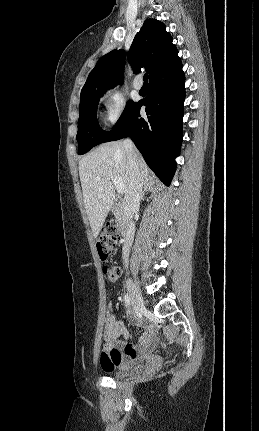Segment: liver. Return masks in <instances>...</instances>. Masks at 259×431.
<instances>
[{
	"label": "liver",
	"mask_w": 259,
	"mask_h": 431,
	"mask_svg": "<svg viewBox=\"0 0 259 431\" xmlns=\"http://www.w3.org/2000/svg\"><path fill=\"white\" fill-rule=\"evenodd\" d=\"M136 153L143 185L152 184L148 166L139 152ZM78 168L84 205L96 238L115 200L112 179L117 177L124 184L127 195L134 176L122 141L100 145L79 161Z\"/></svg>",
	"instance_id": "obj_1"
}]
</instances>
